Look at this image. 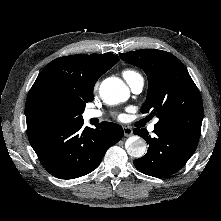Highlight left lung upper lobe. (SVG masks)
<instances>
[{"label":"left lung upper lobe","mask_w":221,"mask_h":221,"mask_svg":"<svg viewBox=\"0 0 221 221\" xmlns=\"http://www.w3.org/2000/svg\"><path fill=\"white\" fill-rule=\"evenodd\" d=\"M119 56L146 73L149 87L141 112L159 118L155 127L199 140L203 104L182 62L171 53L154 49Z\"/></svg>","instance_id":"5c2ea615"}]
</instances>
